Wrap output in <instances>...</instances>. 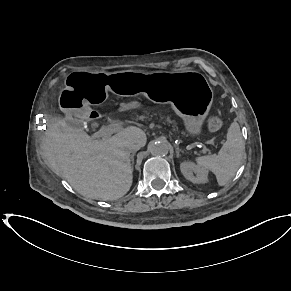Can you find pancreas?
Wrapping results in <instances>:
<instances>
[{"label":"pancreas","mask_w":291,"mask_h":291,"mask_svg":"<svg viewBox=\"0 0 291 291\" xmlns=\"http://www.w3.org/2000/svg\"><path fill=\"white\" fill-rule=\"evenodd\" d=\"M137 120L142 121H156L168 125L171 129L177 133L180 132L178 123L175 119H172L171 116L164 113L159 108H145L141 110V114H135ZM184 134V132H182Z\"/></svg>","instance_id":"pancreas-1"}]
</instances>
